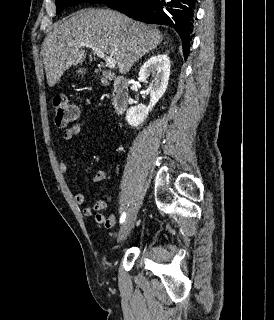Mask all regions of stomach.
Segmentation results:
<instances>
[{
	"mask_svg": "<svg viewBox=\"0 0 274 320\" xmlns=\"http://www.w3.org/2000/svg\"><path fill=\"white\" fill-rule=\"evenodd\" d=\"M79 74H86V70H79Z\"/></svg>",
	"mask_w": 274,
	"mask_h": 320,
	"instance_id": "obj_1",
	"label": "stomach"
}]
</instances>
